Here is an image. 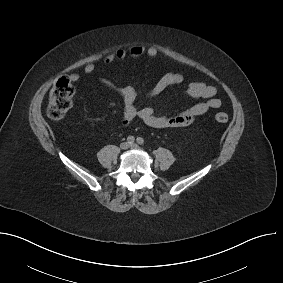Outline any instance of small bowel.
Instances as JSON below:
<instances>
[{"mask_svg": "<svg viewBox=\"0 0 283 283\" xmlns=\"http://www.w3.org/2000/svg\"><path fill=\"white\" fill-rule=\"evenodd\" d=\"M157 55L158 49L154 46L144 47L141 45H133L127 50L120 48L106 55L104 57V62L106 64H110L115 61H123L127 57L140 58L146 56L148 58H155ZM95 70L96 66L92 63H89L84 67V72L86 74H92ZM69 78L71 81L77 82L80 79V76L73 73L69 76ZM183 79L184 77L180 73H166L147 94V97H155L161 94L167 87L182 83ZM100 80L103 84L115 90L122 97L124 102V125H129L134 120L140 119L145 124L154 128L185 127L192 124L197 117L205 114L210 109H216L221 106V100L216 97L217 90L214 86L208 85L204 82H193L187 86L185 91L186 95L191 98L201 99V101L177 115L163 116L158 114L152 107H137L136 101L138 93L133 87L115 84L105 77H101Z\"/></svg>", "mask_w": 283, "mask_h": 283, "instance_id": "obj_1", "label": "small bowel"}]
</instances>
